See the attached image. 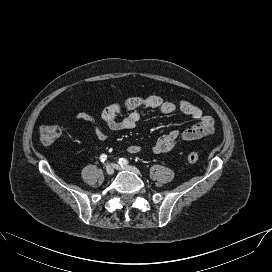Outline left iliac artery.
<instances>
[{
    "instance_id": "44dca946",
    "label": "left iliac artery",
    "mask_w": 272,
    "mask_h": 272,
    "mask_svg": "<svg viewBox=\"0 0 272 272\" xmlns=\"http://www.w3.org/2000/svg\"><path fill=\"white\" fill-rule=\"evenodd\" d=\"M119 164H120L121 166L127 165V164H128V160L125 159V158H120V159H119Z\"/></svg>"
}]
</instances>
